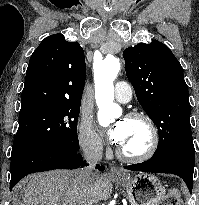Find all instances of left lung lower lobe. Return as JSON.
<instances>
[{"label":"left lung lower lobe","mask_w":199,"mask_h":205,"mask_svg":"<svg viewBox=\"0 0 199 205\" xmlns=\"http://www.w3.org/2000/svg\"><path fill=\"white\" fill-rule=\"evenodd\" d=\"M195 164V151H175L159 158H151L143 163H138L124 168L133 171L172 173L181 177L190 193L193 187V172Z\"/></svg>","instance_id":"1"}]
</instances>
